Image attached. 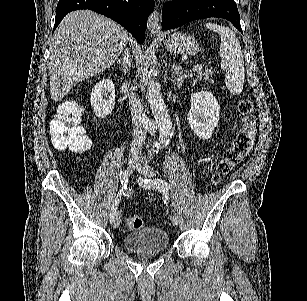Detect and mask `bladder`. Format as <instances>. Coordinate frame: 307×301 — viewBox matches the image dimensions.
<instances>
[{"label":"bladder","mask_w":307,"mask_h":301,"mask_svg":"<svg viewBox=\"0 0 307 301\" xmlns=\"http://www.w3.org/2000/svg\"><path fill=\"white\" fill-rule=\"evenodd\" d=\"M122 245L134 252H161L168 248L169 238L164 230L148 227L122 237Z\"/></svg>","instance_id":"obj_1"}]
</instances>
